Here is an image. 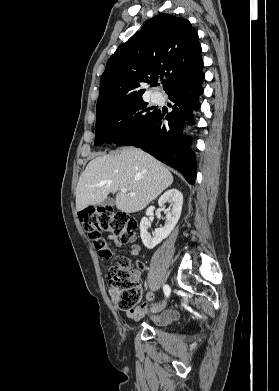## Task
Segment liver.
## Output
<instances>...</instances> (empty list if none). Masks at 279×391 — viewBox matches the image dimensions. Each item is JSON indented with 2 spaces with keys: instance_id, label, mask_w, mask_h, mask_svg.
<instances>
[{
  "instance_id": "1",
  "label": "liver",
  "mask_w": 279,
  "mask_h": 391,
  "mask_svg": "<svg viewBox=\"0 0 279 391\" xmlns=\"http://www.w3.org/2000/svg\"><path fill=\"white\" fill-rule=\"evenodd\" d=\"M173 183L171 172L157 159L135 147L119 153L97 156L86 166L76 188V209L100 204L109 193L116 195L115 205L125 213L143 210ZM135 193L131 196L130 193Z\"/></svg>"
}]
</instances>
